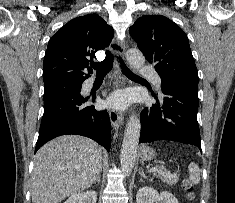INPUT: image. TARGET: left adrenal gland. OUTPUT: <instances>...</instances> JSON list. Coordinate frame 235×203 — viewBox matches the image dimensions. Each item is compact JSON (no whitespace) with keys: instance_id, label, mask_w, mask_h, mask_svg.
Instances as JSON below:
<instances>
[{"instance_id":"obj_1","label":"left adrenal gland","mask_w":235,"mask_h":203,"mask_svg":"<svg viewBox=\"0 0 235 203\" xmlns=\"http://www.w3.org/2000/svg\"><path fill=\"white\" fill-rule=\"evenodd\" d=\"M140 174H141V177H144L143 171H142V173H140ZM140 182H143V179H142V178L140 179Z\"/></svg>"}]
</instances>
